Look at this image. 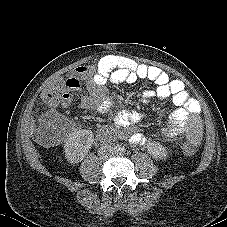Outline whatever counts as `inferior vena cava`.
<instances>
[{"mask_svg": "<svg viewBox=\"0 0 227 227\" xmlns=\"http://www.w3.org/2000/svg\"><path fill=\"white\" fill-rule=\"evenodd\" d=\"M107 150H111V147L110 146H102V147H100L99 148V156H101V157H106V155H105V151H107Z\"/></svg>", "mask_w": 227, "mask_h": 227, "instance_id": "602c4592", "label": "inferior vena cava"}]
</instances>
